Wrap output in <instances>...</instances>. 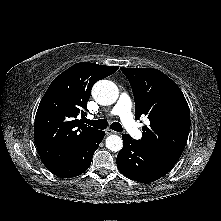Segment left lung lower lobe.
Instances as JSON below:
<instances>
[{"label": "left lung lower lobe", "instance_id": "0a47b994", "mask_svg": "<svg viewBox=\"0 0 221 221\" xmlns=\"http://www.w3.org/2000/svg\"><path fill=\"white\" fill-rule=\"evenodd\" d=\"M123 148L118 153L116 163L126 177L141 183H149L168 173L174 163L142 147L130 135H122Z\"/></svg>", "mask_w": 221, "mask_h": 221}]
</instances>
